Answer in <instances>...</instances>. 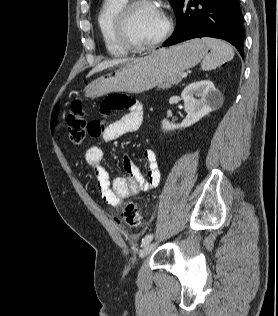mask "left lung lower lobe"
I'll use <instances>...</instances> for the list:
<instances>
[{"instance_id":"left-lung-lower-lobe-1","label":"left lung lower lobe","mask_w":278,"mask_h":316,"mask_svg":"<svg viewBox=\"0 0 278 316\" xmlns=\"http://www.w3.org/2000/svg\"><path fill=\"white\" fill-rule=\"evenodd\" d=\"M176 18V29L163 46L209 36L230 42L243 56L244 29L239 0H183Z\"/></svg>"}]
</instances>
